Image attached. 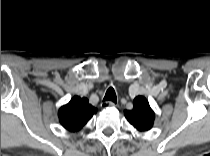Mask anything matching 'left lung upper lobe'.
Returning <instances> with one entry per match:
<instances>
[{
  "instance_id": "1",
  "label": "left lung upper lobe",
  "mask_w": 210,
  "mask_h": 156,
  "mask_svg": "<svg viewBox=\"0 0 210 156\" xmlns=\"http://www.w3.org/2000/svg\"><path fill=\"white\" fill-rule=\"evenodd\" d=\"M124 114L138 131H147L153 126L155 114L143 96L136 97L133 101V109L125 110Z\"/></svg>"
}]
</instances>
